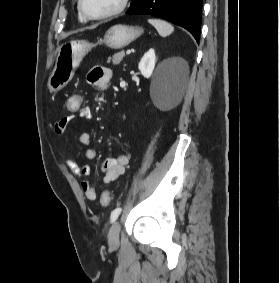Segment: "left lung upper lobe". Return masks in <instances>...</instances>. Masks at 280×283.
I'll list each match as a JSON object with an SVG mask.
<instances>
[{
    "label": "left lung upper lobe",
    "mask_w": 280,
    "mask_h": 283,
    "mask_svg": "<svg viewBox=\"0 0 280 283\" xmlns=\"http://www.w3.org/2000/svg\"><path fill=\"white\" fill-rule=\"evenodd\" d=\"M137 0H131V5H133Z\"/></svg>",
    "instance_id": "obj_1"
}]
</instances>
